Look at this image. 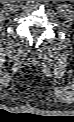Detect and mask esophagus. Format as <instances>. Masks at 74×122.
<instances>
[{"instance_id": "1", "label": "esophagus", "mask_w": 74, "mask_h": 122, "mask_svg": "<svg viewBox=\"0 0 74 122\" xmlns=\"http://www.w3.org/2000/svg\"><path fill=\"white\" fill-rule=\"evenodd\" d=\"M27 5L30 7H34V6H36V2L35 1H27Z\"/></svg>"}]
</instances>
